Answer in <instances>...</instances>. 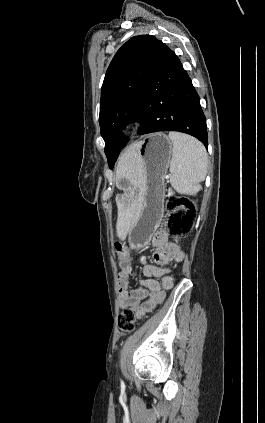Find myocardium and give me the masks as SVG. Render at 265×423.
Returning <instances> with one entry per match:
<instances>
[{
    "mask_svg": "<svg viewBox=\"0 0 265 423\" xmlns=\"http://www.w3.org/2000/svg\"><path fill=\"white\" fill-rule=\"evenodd\" d=\"M130 130H131V126L126 125V126L123 127L122 132L124 134H128L130 132Z\"/></svg>",
    "mask_w": 265,
    "mask_h": 423,
    "instance_id": "obj_1",
    "label": "myocardium"
}]
</instances>
